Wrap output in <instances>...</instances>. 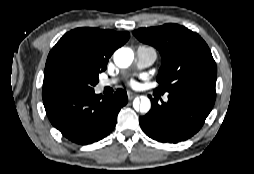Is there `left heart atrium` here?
I'll return each instance as SVG.
<instances>
[{"label":"left heart atrium","mask_w":254,"mask_h":174,"mask_svg":"<svg viewBox=\"0 0 254 174\" xmlns=\"http://www.w3.org/2000/svg\"><path fill=\"white\" fill-rule=\"evenodd\" d=\"M132 86H136L137 85V83L135 82V81H131V83H130Z\"/></svg>","instance_id":"39dd6f15"}]
</instances>
